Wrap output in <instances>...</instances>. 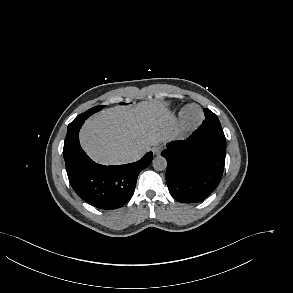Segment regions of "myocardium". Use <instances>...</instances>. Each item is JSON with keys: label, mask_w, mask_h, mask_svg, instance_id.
I'll list each match as a JSON object with an SVG mask.
<instances>
[{"label": "myocardium", "mask_w": 293, "mask_h": 293, "mask_svg": "<svg viewBox=\"0 0 293 293\" xmlns=\"http://www.w3.org/2000/svg\"><path fill=\"white\" fill-rule=\"evenodd\" d=\"M191 108H195L198 110L199 112V118L196 120V121H190L188 118H187V111ZM179 126H180V129L183 131V132H190V131H193L195 129H197L203 122L204 120V113L203 111L200 109L199 106L197 105H194V104H189V105H186L184 106L180 112H179Z\"/></svg>", "instance_id": "myocardium-1"}]
</instances>
